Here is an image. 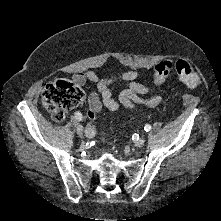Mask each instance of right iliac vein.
Listing matches in <instances>:
<instances>
[{
  "label": "right iliac vein",
  "instance_id": "obj_1",
  "mask_svg": "<svg viewBox=\"0 0 221 221\" xmlns=\"http://www.w3.org/2000/svg\"><path fill=\"white\" fill-rule=\"evenodd\" d=\"M77 134L80 136V137H83V127L81 124H77Z\"/></svg>",
  "mask_w": 221,
  "mask_h": 221
}]
</instances>
